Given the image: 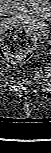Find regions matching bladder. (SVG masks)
Returning a JSON list of instances; mask_svg holds the SVG:
<instances>
[{"label":"bladder","instance_id":"1","mask_svg":"<svg viewBox=\"0 0 51 153\" xmlns=\"http://www.w3.org/2000/svg\"><path fill=\"white\" fill-rule=\"evenodd\" d=\"M0 11L7 16L18 15L24 20H47L51 17L48 0H0Z\"/></svg>","mask_w":51,"mask_h":153}]
</instances>
